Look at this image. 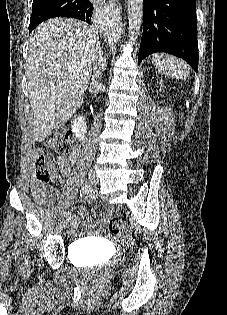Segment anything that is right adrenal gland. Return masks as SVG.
I'll return each mask as SVG.
<instances>
[{
  "label": "right adrenal gland",
  "mask_w": 227,
  "mask_h": 315,
  "mask_svg": "<svg viewBox=\"0 0 227 315\" xmlns=\"http://www.w3.org/2000/svg\"><path fill=\"white\" fill-rule=\"evenodd\" d=\"M99 55H100V57L102 58V60L104 62V66L106 67V57H105V55H104L102 50H100Z\"/></svg>",
  "instance_id": "right-adrenal-gland-1"
}]
</instances>
